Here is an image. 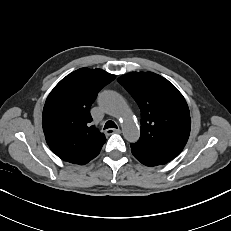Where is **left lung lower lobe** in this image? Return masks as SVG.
I'll return each mask as SVG.
<instances>
[{"instance_id": "0a47b994", "label": "left lung lower lobe", "mask_w": 231, "mask_h": 231, "mask_svg": "<svg viewBox=\"0 0 231 231\" xmlns=\"http://www.w3.org/2000/svg\"><path fill=\"white\" fill-rule=\"evenodd\" d=\"M131 151L138 161L149 167L166 164L175 158V156L165 152L145 150L133 145H131Z\"/></svg>"}]
</instances>
